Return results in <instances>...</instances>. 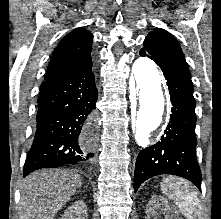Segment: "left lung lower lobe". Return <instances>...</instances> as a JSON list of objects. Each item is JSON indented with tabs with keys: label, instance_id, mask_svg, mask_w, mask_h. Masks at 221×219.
<instances>
[{
	"label": "left lung lower lobe",
	"instance_id": "0a47b994",
	"mask_svg": "<svg viewBox=\"0 0 221 219\" xmlns=\"http://www.w3.org/2000/svg\"><path fill=\"white\" fill-rule=\"evenodd\" d=\"M141 56L156 62L167 80L172 108L170 121L161 141L142 150L136 161L134 190L147 179L171 174L188 179L201 190V171L196 159L195 99L190 74L168 60L153 56L145 49Z\"/></svg>",
	"mask_w": 221,
	"mask_h": 219
}]
</instances>
